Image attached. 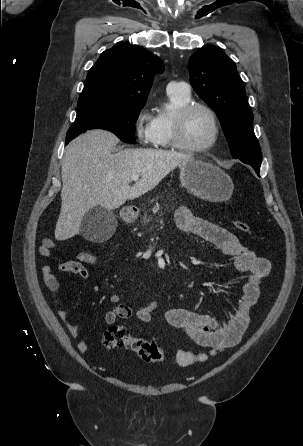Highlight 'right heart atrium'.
<instances>
[{"mask_svg": "<svg viewBox=\"0 0 303 446\" xmlns=\"http://www.w3.org/2000/svg\"><path fill=\"white\" fill-rule=\"evenodd\" d=\"M134 130L138 141L143 144L152 143L154 137V121L148 111L141 109L134 122Z\"/></svg>", "mask_w": 303, "mask_h": 446, "instance_id": "right-heart-atrium-1", "label": "right heart atrium"}]
</instances>
